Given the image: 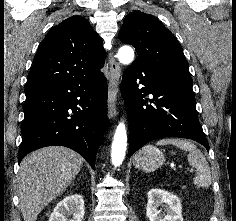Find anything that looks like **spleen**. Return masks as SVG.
<instances>
[{
    "mask_svg": "<svg viewBox=\"0 0 236 221\" xmlns=\"http://www.w3.org/2000/svg\"><path fill=\"white\" fill-rule=\"evenodd\" d=\"M157 145H168L172 144L181 150L187 152V160L189 164L196 168L197 175L193 179L194 184L199 187H209L211 184V172L208 162L203 155V153L197 149L196 145L188 140L178 139V138H166L161 139Z\"/></svg>",
    "mask_w": 236,
    "mask_h": 221,
    "instance_id": "spleen-1",
    "label": "spleen"
}]
</instances>
